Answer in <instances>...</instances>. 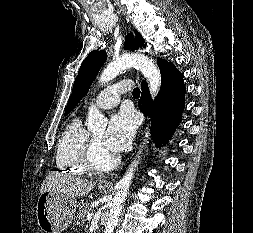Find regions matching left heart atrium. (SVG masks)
<instances>
[{
	"label": "left heart atrium",
	"mask_w": 253,
	"mask_h": 233,
	"mask_svg": "<svg viewBox=\"0 0 253 233\" xmlns=\"http://www.w3.org/2000/svg\"><path fill=\"white\" fill-rule=\"evenodd\" d=\"M136 129V119L132 112L122 110L111 116L103 137V146L112 153L123 151L131 142Z\"/></svg>",
	"instance_id": "left-heart-atrium-1"
}]
</instances>
